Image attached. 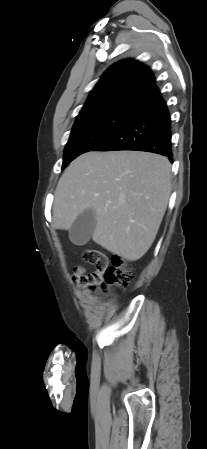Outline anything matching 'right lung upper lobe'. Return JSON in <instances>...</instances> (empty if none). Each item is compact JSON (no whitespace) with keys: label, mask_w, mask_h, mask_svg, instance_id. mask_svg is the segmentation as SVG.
<instances>
[{"label":"right lung upper lobe","mask_w":207,"mask_h":449,"mask_svg":"<svg viewBox=\"0 0 207 449\" xmlns=\"http://www.w3.org/2000/svg\"><path fill=\"white\" fill-rule=\"evenodd\" d=\"M160 98L151 70L140 62L127 59L104 73L78 117L117 109L137 112Z\"/></svg>","instance_id":"1"}]
</instances>
